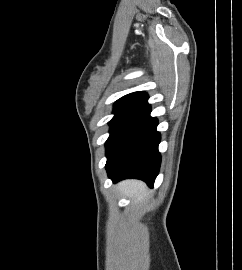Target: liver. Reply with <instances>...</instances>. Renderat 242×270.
<instances>
[{"mask_svg":"<svg viewBox=\"0 0 242 270\" xmlns=\"http://www.w3.org/2000/svg\"><path fill=\"white\" fill-rule=\"evenodd\" d=\"M118 188L124 195L134 198L135 201L142 200L146 196V187L141 181H124L118 185Z\"/></svg>","mask_w":242,"mask_h":270,"instance_id":"6515ba94","label":"liver"}]
</instances>
